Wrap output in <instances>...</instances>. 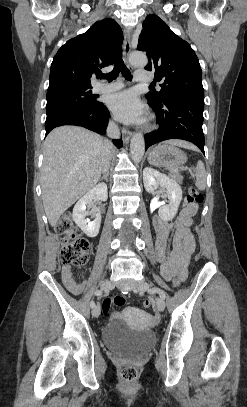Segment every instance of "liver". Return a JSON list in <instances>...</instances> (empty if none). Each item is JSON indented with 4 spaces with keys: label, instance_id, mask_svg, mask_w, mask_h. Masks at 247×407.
<instances>
[{
    "label": "liver",
    "instance_id": "obj_1",
    "mask_svg": "<svg viewBox=\"0 0 247 407\" xmlns=\"http://www.w3.org/2000/svg\"><path fill=\"white\" fill-rule=\"evenodd\" d=\"M168 143L194 147L183 140ZM105 153L103 138L82 127L61 126L46 137L41 188L44 210L51 226H55L60 216L96 185Z\"/></svg>",
    "mask_w": 247,
    "mask_h": 407
}]
</instances>
